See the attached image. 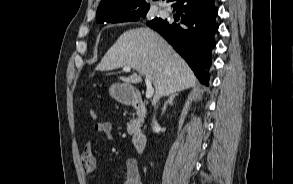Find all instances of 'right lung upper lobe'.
<instances>
[{
  "instance_id": "obj_1",
  "label": "right lung upper lobe",
  "mask_w": 293,
  "mask_h": 184,
  "mask_svg": "<svg viewBox=\"0 0 293 184\" xmlns=\"http://www.w3.org/2000/svg\"><path fill=\"white\" fill-rule=\"evenodd\" d=\"M149 7L147 0H101L96 19L100 23L120 22L137 13L148 11Z\"/></svg>"
}]
</instances>
